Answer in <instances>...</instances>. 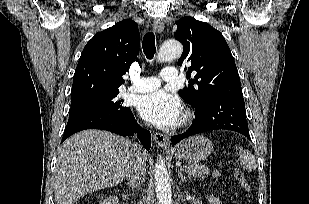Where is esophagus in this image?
<instances>
[{"label":"esophagus","instance_id":"1","mask_svg":"<svg viewBox=\"0 0 309 204\" xmlns=\"http://www.w3.org/2000/svg\"><path fill=\"white\" fill-rule=\"evenodd\" d=\"M153 30L156 33H162L164 30V24L160 20H154L152 24ZM154 141L162 148L167 149L170 145V139L167 135L161 133L154 134Z\"/></svg>","mask_w":309,"mask_h":204}]
</instances>
